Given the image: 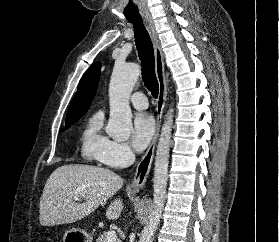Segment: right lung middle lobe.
Returning <instances> with one entry per match:
<instances>
[{
	"mask_svg": "<svg viewBox=\"0 0 279 242\" xmlns=\"http://www.w3.org/2000/svg\"><path fill=\"white\" fill-rule=\"evenodd\" d=\"M72 123H74V122L66 123V126L68 127V126H70Z\"/></svg>",
	"mask_w": 279,
	"mask_h": 242,
	"instance_id": "obj_1",
	"label": "right lung middle lobe"
}]
</instances>
